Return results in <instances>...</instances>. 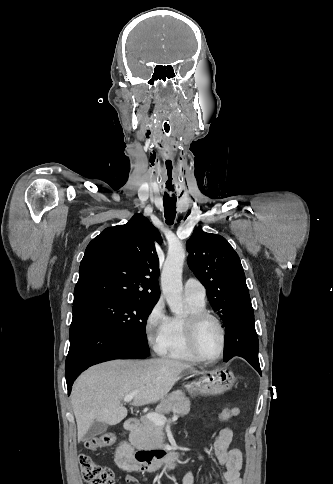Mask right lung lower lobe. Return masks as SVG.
<instances>
[{"label":"right lung lower lobe","instance_id":"right-lung-lower-lobe-1","mask_svg":"<svg viewBox=\"0 0 333 484\" xmlns=\"http://www.w3.org/2000/svg\"><path fill=\"white\" fill-rule=\"evenodd\" d=\"M69 337L70 348L65 365L68 394L77 376L91 365L116 358L147 357L127 338L81 308L73 310Z\"/></svg>","mask_w":333,"mask_h":484}]
</instances>
